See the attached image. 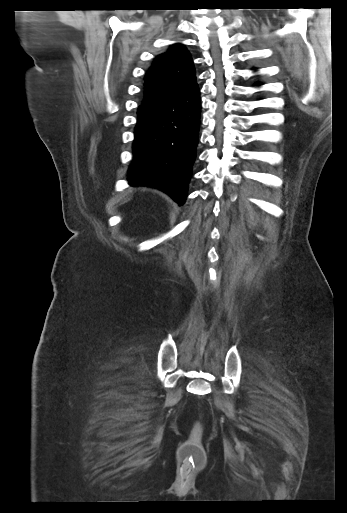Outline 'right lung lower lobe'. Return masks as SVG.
Masks as SVG:
<instances>
[{
  "mask_svg": "<svg viewBox=\"0 0 347 513\" xmlns=\"http://www.w3.org/2000/svg\"><path fill=\"white\" fill-rule=\"evenodd\" d=\"M197 84L163 98L144 99L138 108L130 185H147L184 204L196 156L200 125Z\"/></svg>",
  "mask_w": 347,
  "mask_h": 513,
  "instance_id": "1",
  "label": "right lung lower lobe"
}]
</instances>
